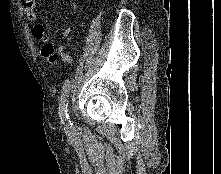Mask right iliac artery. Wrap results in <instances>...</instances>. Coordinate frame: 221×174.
Returning a JSON list of instances; mask_svg holds the SVG:
<instances>
[{
	"mask_svg": "<svg viewBox=\"0 0 221 174\" xmlns=\"http://www.w3.org/2000/svg\"><path fill=\"white\" fill-rule=\"evenodd\" d=\"M69 80H66L63 85L62 95L60 99V106H59V114L61 121L66 127L71 126V121L68 114V97H69Z\"/></svg>",
	"mask_w": 221,
	"mask_h": 174,
	"instance_id": "1",
	"label": "right iliac artery"
}]
</instances>
